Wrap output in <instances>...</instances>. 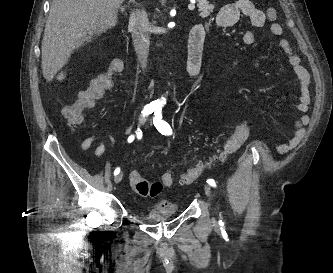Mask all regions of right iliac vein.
<instances>
[{
    "instance_id": "63e3f726",
    "label": "right iliac vein",
    "mask_w": 333,
    "mask_h": 273,
    "mask_svg": "<svg viewBox=\"0 0 333 273\" xmlns=\"http://www.w3.org/2000/svg\"><path fill=\"white\" fill-rule=\"evenodd\" d=\"M122 178H123V173L121 172V173H119V174L116 175V177L114 178V182L116 184H118V183L121 182Z\"/></svg>"
}]
</instances>
